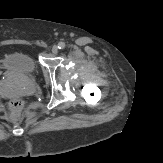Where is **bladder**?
<instances>
[{
    "label": "bladder",
    "instance_id": "obj_1",
    "mask_svg": "<svg viewBox=\"0 0 163 163\" xmlns=\"http://www.w3.org/2000/svg\"><path fill=\"white\" fill-rule=\"evenodd\" d=\"M2 68L16 76H31L38 70V63L26 52H10L2 60Z\"/></svg>",
    "mask_w": 163,
    "mask_h": 163
}]
</instances>
